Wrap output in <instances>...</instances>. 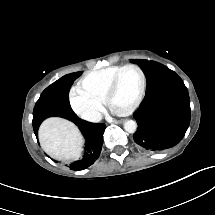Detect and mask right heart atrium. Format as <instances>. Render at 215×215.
<instances>
[{
  "mask_svg": "<svg viewBox=\"0 0 215 215\" xmlns=\"http://www.w3.org/2000/svg\"><path fill=\"white\" fill-rule=\"evenodd\" d=\"M70 109L86 121H97L100 118V104L89 95L73 90L69 101Z\"/></svg>",
  "mask_w": 215,
  "mask_h": 215,
  "instance_id": "1",
  "label": "right heart atrium"
}]
</instances>
